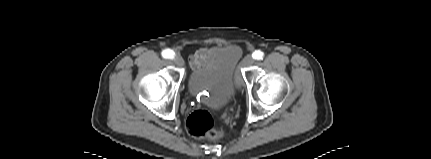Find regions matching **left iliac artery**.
<instances>
[{"mask_svg": "<svg viewBox=\"0 0 431 159\" xmlns=\"http://www.w3.org/2000/svg\"><path fill=\"white\" fill-rule=\"evenodd\" d=\"M263 56H264V54H263V52H261L260 50H256V51L252 54V57H253L254 59H257V60L263 59Z\"/></svg>", "mask_w": 431, "mask_h": 159, "instance_id": "44dca946", "label": "left iliac artery"}]
</instances>
